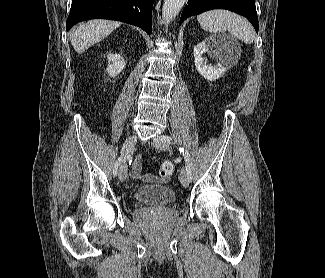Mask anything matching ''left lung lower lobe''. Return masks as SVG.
Here are the masks:
<instances>
[{
	"label": "left lung lower lobe",
	"instance_id": "0a47b994",
	"mask_svg": "<svg viewBox=\"0 0 325 278\" xmlns=\"http://www.w3.org/2000/svg\"><path fill=\"white\" fill-rule=\"evenodd\" d=\"M211 9H227L245 16L258 33V17L254 0H188L183 9L180 24L190 16Z\"/></svg>",
	"mask_w": 325,
	"mask_h": 278
}]
</instances>
